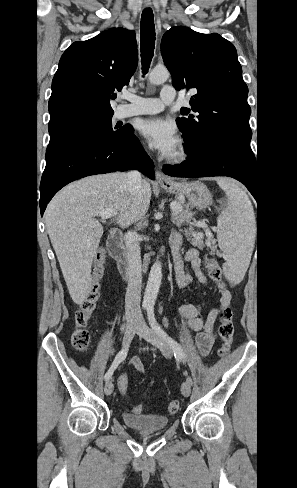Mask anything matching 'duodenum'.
<instances>
[{
  "label": "duodenum",
  "mask_w": 297,
  "mask_h": 488,
  "mask_svg": "<svg viewBox=\"0 0 297 488\" xmlns=\"http://www.w3.org/2000/svg\"><path fill=\"white\" fill-rule=\"evenodd\" d=\"M107 248L110 256L116 261L120 273L125 279H131L132 269L127 258L123 242L122 233L118 230L112 231L107 240ZM164 251H161L159 256H163Z\"/></svg>",
  "instance_id": "1"
}]
</instances>
